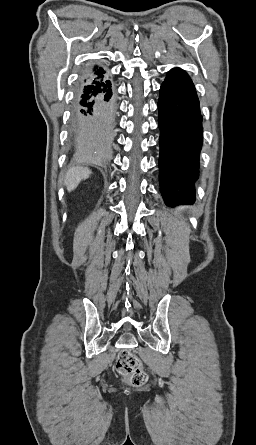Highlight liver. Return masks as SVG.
Segmentation results:
<instances>
[{
	"mask_svg": "<svg viewBox=\"0 0 256 445\" xmlns=\"http://www.w3.org/2000/svg\"><path fill=\"white\" fill-rule=\"evenodd\" d=\"M91 174L88 168L84 167H73L71 168L65 178V186L68 191L74 190L81 180L86 179Z\"/></svg>",
	"mask_w": 256,
	"mask_h": 445,
	"instance_id": "1",
	"label": "liver"
}]
</instances>
